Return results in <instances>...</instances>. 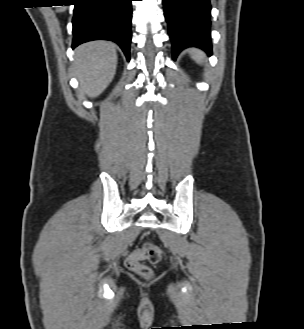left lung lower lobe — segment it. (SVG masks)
Listing matches in <instances>:
<instances>
[{
	"label": "left lung lower lobe",
	"mask_w": 304,
	"mask_h": 329,
	"mask_svg": "<svg viewBox=\"0 0 304 329\" xmlns=\"http://www.w3.org/2000/svg\"><path fill=\"white\" fill-rule=\"evenodd\" d=\"M163 5L172 41L173 59L189 46L199 47L211 54L210 1L163 0Z\"/></svg>",
	"instance_id": "left-lung-lower-lobe-1"
}]
</instances>
